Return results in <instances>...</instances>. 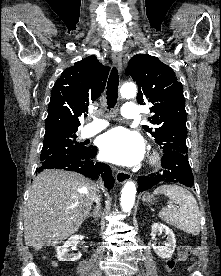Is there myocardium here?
I'll return each mask as SVG.
<instances>
[{
    "label": "myocardium",
    "mask_w": 221,
    "mask_h": 276,
    "mask_svg": "<svg viewBox=\"0 0 221 276\" xmlns=\"http://www.w3.org/2000/svg\"><path fill=\"white\" fill-rule=\"evenodd\" d=\"M158 160H159L158 155L157 154H152L150 156L149 162H150V164L154 165L158 162Z\"/></svg>",
    "instance_id": "myocardium-1"
}]
</instances>
